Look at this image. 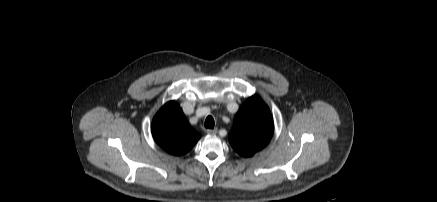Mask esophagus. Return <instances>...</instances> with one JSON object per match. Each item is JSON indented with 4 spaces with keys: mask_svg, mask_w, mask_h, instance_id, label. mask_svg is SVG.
<instances>
[{
    "mask_svg": "<svg viewBox=\"0 0 437 202\" xmlns=\"http://www.w3.org/2000/svg\"><path fill=\"white\" fill-rule=\"evenodd\" d=\"M217 129L215 128V129H208L207 130V134H209V135H215V134H217Z\"/></svg>",
    "mask_w": 437,
    "mask_h": 202,
    "instance_id": "34e87169",
    "label": "esophagus"
}]
</instances>
